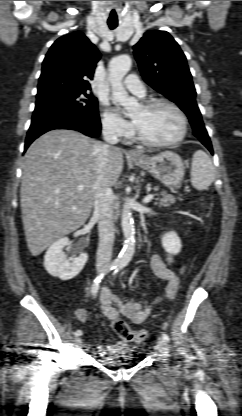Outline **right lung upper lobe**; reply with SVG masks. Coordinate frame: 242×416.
<instances>
[{"label":"right lung upper lobe","instance_id":"right-lung-upper-lobe-1","mask_svg":"<svg viewBox=\"0 0 242 416\" xmlns=\"http://www.w3.org/2000/svg\"><path fill=\"white\" fill-rule=\"evenodd\" d=\"M100 53L81 32L64 35L54 42L43 61L39 95L63 88L89 90Z\"/></svg>","mask_w":242,"mask_h":416}]
</instances>
